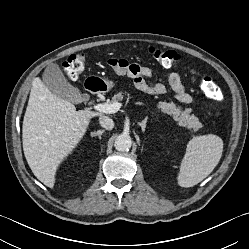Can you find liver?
I'll return each mask as SVG.
<instances>
[{
    "label": "liver",
    "mask_w": 249,
    "mask_h": 249,
    "mask_svg": "<svg viewBox=\"0 0 249 249\" xmlns=\"http://www.w3.org/2000/svg\"><path fill=\"white\" fill-rule=\"evenodd\" d=\"M100 113L79 110L52 93L41 79L33 81L23 119L22 141L25 158L38 180L53 188L59 165L86 133L91 118Z\"/></svg>",
    "instance_id": "liver-1"
}]
</instances>
